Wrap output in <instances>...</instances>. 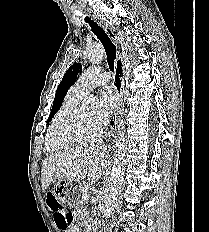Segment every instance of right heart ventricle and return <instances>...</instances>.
<instances>
[{"label": "right heart ventricle", "instance_id": "1", "mask_svg": "<svg viewBox=\"0 0 209 232\" xmlns=\"http://www.w3.org/2000/svg\"><path fill=\"white\" fill-rule=\"evenodd\" d=\"M81 100L75 99L72 97L69 93L67 94L64 102L62 103L61 107L55 114L52 123L48 129L47 135H46V148L48 151L53 152L60 150L73 142H67L59 139L56 136V128L62 121V119L73 109H75Z\"/></svg>", "mask_w": 209, "mask_h": 232}]
</instances>
